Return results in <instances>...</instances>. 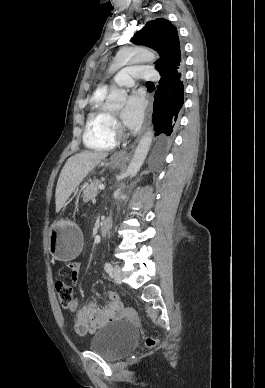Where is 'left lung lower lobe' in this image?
Returning a JSON list of instances; mask_svg holds the SVG:
<instances>
[{
    "mask_svg": "<svg viewBox=\"0 0 265 388\" xmlns=\"http://www.w3.org/2000/svg\"><path fill=\"white\" fill-rule=\"evenodd\" d=\"M160 75L153 104V124L157 136L152 156L154 165L161 162L175 136L184 104V66Z\"/></svg>",
    "mask_w": 265,
    "mask_h": 388,
    "instance_id": "left-lung-lower-lobe-1",
    "label": "left lung lower lobe"
}]
</instances>
